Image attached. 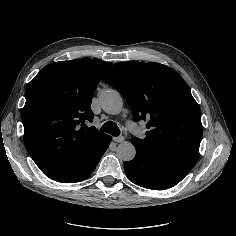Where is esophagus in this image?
Here are the masks:
<instances>
[{"instance_id": "esophagus-1", "label": "esophagus", "mask_w": 236, "mask_h": 236, "mask_svg": "<svg viewBox=\"0 0 236 236\" xmlns=\"http://www.w3.org/2000/svg\"><path fill=\"white\" fill-rule=\"evenodd\" d=\"M124 140V137L123 136H120V137H113V141L115 142H122Z\"/></svg>"}]
</instances>
